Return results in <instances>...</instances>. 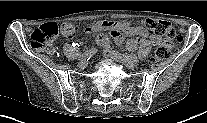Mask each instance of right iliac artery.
<instances>
[{"instance_id": "1", "label": "right iliac artery", "mask_w": 207, "mask_h": 123, "mask_svg": "<svg viewBox=\"0 0 207 123\" xmlns=\"http://www.w3.org/2000/svg\"><path fill=\"white\" fill-rule=\"evenodd\" d=\"M98 50L96 48H91L90 50H87L83 54L80 55L81 60H88L91 58Z\"/></svg>"}]
</instances>
